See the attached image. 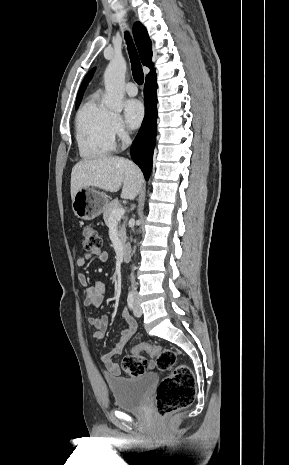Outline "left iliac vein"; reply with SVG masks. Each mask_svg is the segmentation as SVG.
Instances as JSON below:
<instances>
[{"instance_id":"obj_1","label":"left iliac vein","mask_w":289,"mask_h":465,"mask_svg":"<svg viewBox=\"0 0 289 465\" xmlns=\"http://www.w3.org/2000/svg\"><path fill=\"white\" fill-rule=\"evenodd\" d=\"M134 315L136 317H140L142 315V310L140 308V305H139V301H138V298L136 297L135 298V306H134V311H133Z\"/></svg>"}]
</instances>
